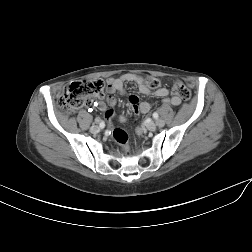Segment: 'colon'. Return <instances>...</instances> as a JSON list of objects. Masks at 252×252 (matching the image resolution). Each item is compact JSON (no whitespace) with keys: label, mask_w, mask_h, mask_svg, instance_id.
<instances>
[{"label":"colon","mask_w":252,"mask_h":252,"mask_svg":"<svg viewBox=\"0 0 252 252\" xmlns=\"http://www.w3.org/2000/svg\"><path fill=\"white\" fill-rule=\"evenodd\" d=\"M143 83L151 89L160 87V80L153 76L142 77ZM104 89V83L101 80L78 81L70 84L63 92L59 99V106L66 114H72L76 110L87 105L92 97L101 96ZM172 92L183 100L190 98V90L181 82H175L172 86ZM137 111V108L134 107ZM127 116L122 115L121 122H125ZM113 136L120 144H125L127 141V133L120 128L113 132Z\"/></svg>","instance_id":"1"}]
</instances>
